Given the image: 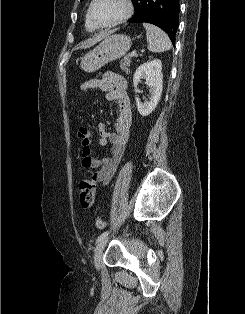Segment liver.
<instances>
[{
	"instance_id": "6515ba94",
	"label": "liver",
	"mask_w": 245,
	"mask_h": 314,
	"mask_svg": "<svg viewBox=\"0 0 245 314\" xmlns=\"http://www.w3.org/2000/svg\"><path fill=\"white\" fill-rule=\"evenodd\" d=\"M111 33L112 32H102L99 35H97L96 37H94L92 39H88L83 44L78 46L76 49H78V48H84V49L89 48V47L95 45L97 42L101 41L102 39H105L106 37H108Z\"/></svg>"
}]
</instances>
